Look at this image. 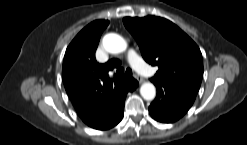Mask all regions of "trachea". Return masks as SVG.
Wrapping results in <instances>:
<instances>
[{
    "label": "trachea",
    "mask_w": 247,
    "mask_h": 145,
    "mask_svg": "<svg viewBox=\"0 0 247 145\" xmlns=\"http://www.w3.org/2000/svg\"><path fill=\"white\" fill-rule=\"evenodd\" d=\"M124 74L127 77H130L132 76V70L130 68H127L126 71H124V68L121 67L116 71L115 78H122Z\"/></svg>",
    "instance_id": "obj_1"
}]
</instances>
